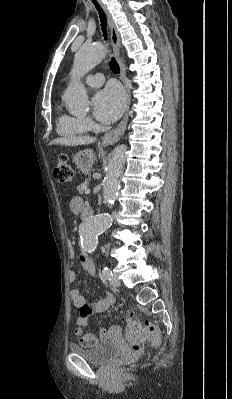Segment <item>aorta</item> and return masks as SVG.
Segmentation results:
<instances>
[{
    "label": "aorta",
    "mask_w": 232,
    "mask_h": 399,
    "mask_svg": "<svg viewBox=\"0 0 232 399\" xmlns=\"http://www.w3.org/2000/svg\"><path fill=\"white\" fill-rule=\"evenodd\" d=\"M105 54L106 50L100 43L85 45L76 53L72 69L73 79L63 95L64 102L72 112L88 109L87 91L80 78L99 64ZM126 150L127 147L125 145H119L113 150L102 183L104 200L110 208H112L117 199L119 177L123 171ZM111 224L112 216L108 213L92 216L84 220L79 227L84 251L93 252L98 244V236L110 228Z\"/></svg>",
    "instance_id": "1"
}]
</instances>
